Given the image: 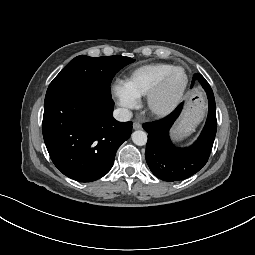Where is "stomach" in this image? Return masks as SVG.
Here are the masks:
<instances>
[{
	"mask_svg": "<svg viewBox=\"0 0 255 255\" xmlns=\"http://www.w3.org/2000/svg\"><path fill=\"white\" fill-rule=\"evenodd\" d=\"M205 111V101L202 93L195 89L187 97L185 110L172 130L173 138L182 141L188 137L200 122Z\"/></svg>",
	"mask_w": 255,
	"mask_h": 255,
	"instance_id": "0dacf381",
	"label": "stomach"
}]
</instances>
